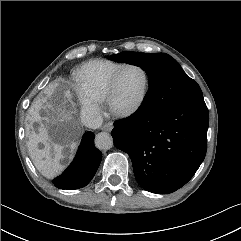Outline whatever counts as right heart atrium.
<instances>
[{
  "label": "right heart atrium",
  "instance_id": "right-heart-atrium-1",
  "mask_svg": "<svg viewBox=\"0 0 241 241\" xmlns=\"http://www.w3.org/2000/svg\"><path fill=\"white\" fill-rule=\"evenodd\" d=\"M76 97L82 120L89 126H95L100 120L102 110L98 101L77 90Z\"/></svg>",
  "mask_w": 241,
  "mask_h": 241
}]
</instances>
